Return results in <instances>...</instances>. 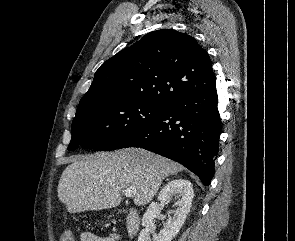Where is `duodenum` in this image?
I'll use <instances>...</instances> for the list:
<instances>
[{"label":"duodenum","instance_id":"obj_1","mask_svg":"<svg viewBox=\"0 0 295 241\" xmlns=\"http://www.w3.org/2000/svg\"><path fill=\"white\" fill-rule=\"evenodd\" d=\"M139 229V215L138 213L130 209L127 214L126 230L128 234L134 235Z\"/></svg>","mask_w":295,"mask_h":241}]
</instances>
